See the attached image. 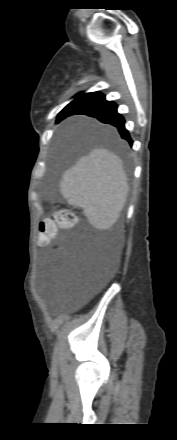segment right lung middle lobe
<instances>
[{"label": "right lung middle lobe", "mask_w": 177, "mask_h": 440, "mask_svg": "<svg viewBox=\"0 0 177 440\" xmlns=\"http://www.w3.org/2000/svg\"><path fill=\"white\" fill-rule=\"evenodd\" d=\"M95 100L93 98L83 97L79 96L75 100H73L71 103H69L58 115V118H66L67 116H70L79 110L93 104ZM57 118V119H58ZM93 134L96 132H92Z\"/></svg>", "instance_id": "obj_1"}]
</instances>
